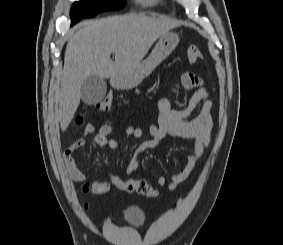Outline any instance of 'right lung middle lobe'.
I'll return each mask as SVG.
<instances>
[{"label": "right lung middle lobe", "mask_w": 283, "mask_h": 245, "mask_svg": "<svg viewBox=\"0 0 283 245\" xmlns=\"http://www.w3.org/2000/svg\"><path fill=\"white\" fill-rule=\"evenodd\" d=\"M126 0H82L74 3L70 16L72 25L81 18L94 17L98 13L119 10L125 6Z\"/></svg>", "instance_id": "right-lung-middle-lobe-1"}]
</instances>
